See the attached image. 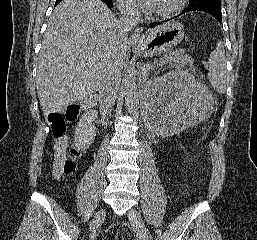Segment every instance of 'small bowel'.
<instances>
[{
    "instance_id": "small-bowel-1",
    "label": "small bowel",
    "mask_w": 257,
    "mask_h": 240,
    "mask_svg": "<svg viewBox=\"0 0 257 240\" xmlns=\"http://www.w3.org/2000/svg\"><path fill=\"white\" fill-rule=\"evenodd\" d=\"M67 140L63 137L58 138L53 143V150L55 157H63L66 155Z\"/></svg>"
}]
</instances>
